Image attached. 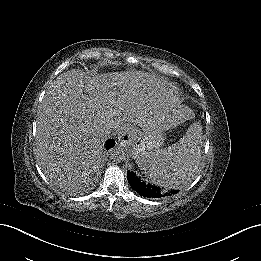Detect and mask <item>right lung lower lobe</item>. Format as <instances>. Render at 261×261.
I'll list each match as a JSON object with an SVG mask.
<instances>
[{"label": "right lung lower lobe", "instance_id": "1", "mask_svg": "<svg viewBox=\"0 0 261 261\" xmlns=\"http://www.w3.org/2000/svg\"><path fill=\"white\" fill-rule=\"evenodd\" d=\"M115 145V140H108L106 143V149H110L111 147H113Z\"/></svg>", "mask_w": 261, "mask_h": 261}]
</instances>
